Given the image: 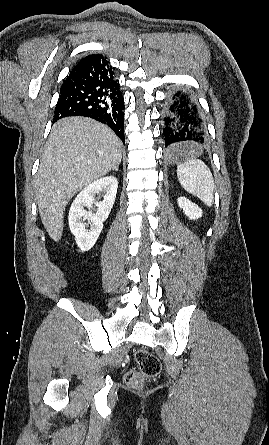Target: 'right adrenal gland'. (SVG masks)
Masks as SVG:
<instances>
[{"label": "right adrenal gland", "mask_w": 269, "mask_h": 445, "mask_svg": "<svg viewBox=\"0 0 269 445\" xmlns=\"http://www.w3.org/2000/svg\"><path fill=\"white\" fill-rule=\"evenodd\" d=\"M119 165L114 169L116 172L118 171Z\"/></svg>", "instance_id": "obj_1"}]
</instances>
